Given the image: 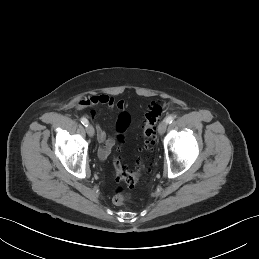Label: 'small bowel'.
<instances>
[{
	"label": "small bowel",
	"mask_w": 259,
	"mask_h": 259,
	"mask_svg": "<svg viewBox=\"0 0 259 259\" xmlns=\"http://www.w3.org/2000/svg\"><path fill=\"white\" fill-rule=\"evenodd\" d=\"M79 105L82 108H92L97 105H104L110 110L116 108L120 112H123L125 108V103L123 100H116L112 96L105 94L93 95L88 99L81 101ZM96 133L98 141L102 143L98 153L99 157L100 159H106L114 147V139L108 136L105 129L99 123L96 124Z\"/></svg>",
	"instance_id": "small-bowel-1"
}]
</instances>
